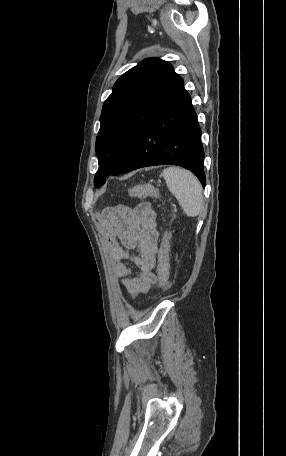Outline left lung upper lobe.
I'll list each match as a JSON object with an SVG mask.
<instances>
[{"label": "left lung upper lobe", "mask_w": 286, "mask_h": 456, "mask_svg": "<svg viewBox=\"0 0 286 456\" xmlns=\"http://www.w3.org/2000/svg\"><path fill=\"white\" fill-rule=\"evenodd\" d=\"M183 85L173 66L158 58L145 59L116 81L100 116L95 187L103 185L107 175H114L140 132Z\"/></svg>", "instance_id": "5c2ea615"}]
</instances>
